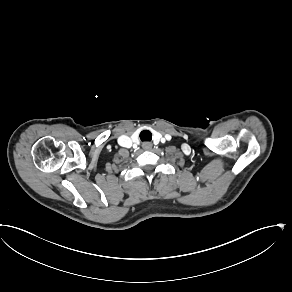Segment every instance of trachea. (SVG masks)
Segmentation results:
<instances>
[{
    "mask_svg": "<svg viewBox=\"0 0 292 292\" xmlns=\"http://www.w3.org/2000/svg\"><path fill=\"white\" fill-rule=\"evenodd\" d=\"M139 136H140L141 141H151L152 140V133L148 130L141 131Z\"/></svg>",
    "mask_w": 292,
    "mask_h": 292,
    "instance_id": "trachea-1",
    "label": "trachea"
}]
</instances>
